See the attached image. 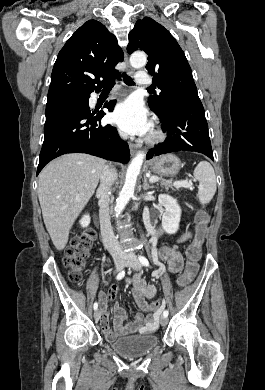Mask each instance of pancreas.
<instances>
[{
	"instance_id": "1",
	"label": "pancreas",
	"mask_w": 265,
	"mask_h": 390,
	"mask_svg": "<svg viewBox=\"0 0 265 390\" xmlns=\"http://www.w3.org/2000/svg\"><path fill=\"white\" fill-rule=\"evenodd\" d=\"M158 182L160 183L161 186H165L166 189L171 188L172 190H176V189L178 190L179 188L183 187V186H176L175 182L172 183L171 180H166L163 178H159Z\"/></svg>"
}]
</instances>
